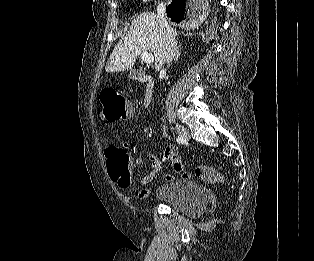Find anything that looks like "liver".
Returning a JSON list of instances; mask_svg holds the SVG:
<instances>
[{
  "label": "liver",
  "instance_id": "1",
  "mask_svg": "<svg viewBox=\"0 0 314 261\" xmlns=\"http://www.w3.org/2000/svg\"><path fill=\"white\" fill-rule=\"evenodd\" d=\"M174 35L177 32L173 30ZM164 29L161 18L151 12L137 15L131 22L127 35L117 43L105 67L106 72L129 70L142 52H150L155 58V71L163 66Z\"/></svg>",
  "mask_w": 314,
  "mask_h": 261
}]
</instances>
